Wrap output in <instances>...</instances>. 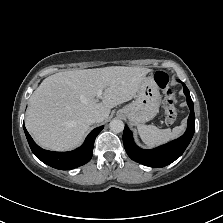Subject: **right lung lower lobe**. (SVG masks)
<instances>
[{
    "label": "right lung lower lobe",
    "mask_w": 223,
    "mask_h": 223,
    "mask_svg": "<svg viewBox=\"0 0 223 223\" xmlns=\"http://www.w3.org/2000/svg\"><path fill=\"white\" fill-rule=\"evenodd\" d=\"M104 126L90 132L84 144L70 152H53L40 148L27 132L24 124V132L32 152L45 164L60 170H70L86 164L92 157L94 141Z\"/></svg>",
    "instance_id": "right-lung-lower-lobe-1"
}]
</instances>
